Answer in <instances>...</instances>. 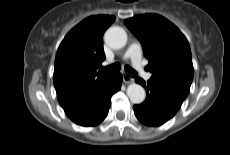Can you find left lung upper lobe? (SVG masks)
I'll return each mask as SVG.
<instances>
[{
	"label": "left lung upper lobe",
	"mask_w": 230,
	"mask_h": 155,
	"mask_svg": "<svg viewBox=\"0 0 230 155\" xmlns=\"http://www.w3.org/2000/svg\"><path fill=\"white\" fill-rule=\"evenodd\" d=\"M140 40L147 69L155 84L185 99L193 80L194 69L189 43L182 32L158 14L134 16L124 21Z\"/></svg>",
	"instance_id": "1"
}]
</instances>
